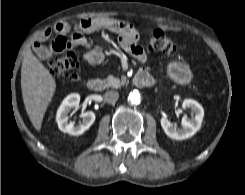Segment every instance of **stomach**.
<instances>
[{"instance_id":"1","label":"stomach","mask_w":245,"mask_h":195,"mask_svg":"<svg viewBox=\"0 0 245 195\" xmlns=\"http://www.w3.org/2000/svg\"><path fill=\"white\" fill-rule=\"evenodd\" d=\"M169 75L177 83H187L190 80L189 70L182 64L172 63L169 66Z\"/></svg>"}]
</instances>
